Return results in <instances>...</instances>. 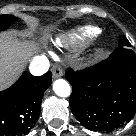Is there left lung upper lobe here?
Instances as JSON below:
<instances>
[{
  "mask_svg": "<svg viewBox=\"0 0 136 136\" xmlns=\"http://www.w3.org/2000/svg\"><path fill=\"white\" fill-rule=\"evenodd\" d=\"M131 44L129 43V41L124 37V36H120V40H119V47H130Z\"/></svg>",
  "mask_w": 136,
  "mask_h": 136,
  "instance_id": "5c2ea615",
  "label": "left lung upper lobe"
}]
</instances>
